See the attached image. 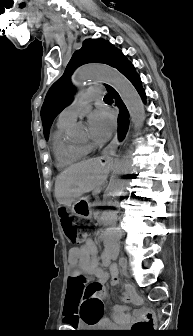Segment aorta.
<instances>
[{"mask_svg": "<svg viewBox=\"0 0 193 336\" xmlns=\"http://www.w3.org/2000/svg\"><path fill=\"white\" fill-rule=\"evenodd\" d=\"M90 80H100L111 85L120 95L125 104L131 120L136 129L143 126L145 120V109L141 97L136 91L132 83L124 77L118 70L108 65H84L76 69L72 76V83L80 86ZM82 130L75 126L71 135L74 138L81 136ZM131 160L128 155L124 156L115 166L113 177L110 180L109 206H117L119 204L118 197L124 191V179L122 178L129 171Z\"/></svg>", "mask_w": 193, "mask_h": 336, "instance_id": "obj_1", "label": "aorta"}]
</instances>
